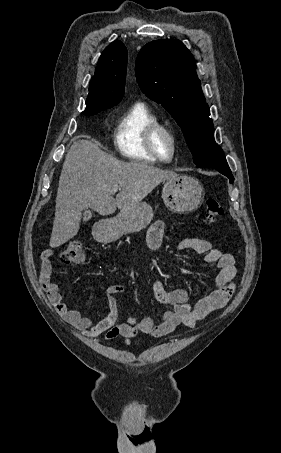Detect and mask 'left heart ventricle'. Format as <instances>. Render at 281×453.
Returning a JSON list of instances; mask_svg holds the SVG:
<instances>
[{"label":"left heart ventricle","instance_id":"1","mask_svg":"<svg viewBox=\"0 0 281 453\" xmlns=\"http://www.w3.org/2000/svg\"><path fill=\"white\" fill-rule=\"evenodd\" d=\"M159 149L161 154L165 157L168 158L170 156V143L166 138H162L160 143H159Z\"/></svg>","mask_w":281,"mask_h":453}]
</instances>
